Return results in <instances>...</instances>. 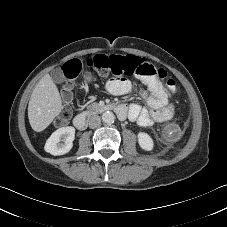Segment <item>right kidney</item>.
Wrapping results in <instances>:
<instances>
[{
	"label": "right kidney",
	"instance_id": "right-kidney-1",
	"mask_svg": "<svg viewBox=\"0 0 227 227\" xmlns=\"http://www.w3.org/2000/svg\"><path fill=\"white\" fill-rule=\"evenodd\" d=\"M75 139V128L72 126L57 129L47 139L44 149L52 155H64L73 147ZM64 143H60V142Z\"/></svg>",
	"mask_w": 227,
	"mask_h": 227
}]
</instances>
